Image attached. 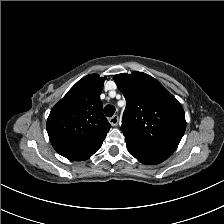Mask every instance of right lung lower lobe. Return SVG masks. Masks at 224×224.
Here are the masks:
<instances>
[{"label":"right lung lower lobe","mask_w":224,"mask_h":224,"mask_svg":"<svg viewBox=\"0 0 224 224\" xmlns=\"http://www.w3.org/2000/svg\"><path fill=\"white\" fill-rule=\"evenodd\" d=\"M54 149L67 159L74 161H82L88 159L96 151H85L84 148L75 141L64 138L54 137L50 139Z\"/></svg>","instance_id":"98d812e1"}]
</instances>
